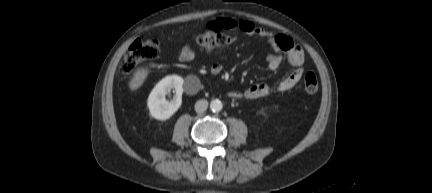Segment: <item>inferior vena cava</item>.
<instances>
[{
	"mask_svg": "<svg viewBox=\"0 0 432 193\" xmlns=\"http://www.w3.org/2000/svg\"><path fill=\"white\" fill-rule=\"evenodd\" d=\"M207 108H208V101L205 99L198 100L195 103V111L197 113H203L207 110Z\"/></svg>",
	"mask_w": 432,
	"mask_h": 193,
	"instance_id": "1",
	"label": "inferior vena cava"
}]
</instances>
